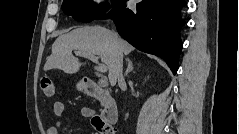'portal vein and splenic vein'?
Listing matches in <instances>:
<instances>
[{"instance_id":"obj_1","label":"portal vein and splenic vein","mask_w":239,"mask_h":134,"mask_svg":"<svg viewBox=\"0 0 239 134\" xmlns=\"http://www.w3.org/2000/svg\"><path fill=\"white\" fill-rule=\"evenodd\" d=\"M77 55L79 56H82V57H85V58H88L90 59L91 61L95 62L97 65H98V70L101 72V73H104L107 71V66L105 64H100L98 62V57L94 54H91V53H87V52H80V51H76L75 52Z\"/></svg>"}]
</instances>
